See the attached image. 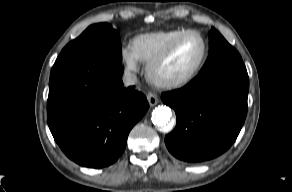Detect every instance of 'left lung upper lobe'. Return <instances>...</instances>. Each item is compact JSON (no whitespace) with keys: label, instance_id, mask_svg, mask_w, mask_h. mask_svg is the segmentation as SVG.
Instances as JSON below:
<instances>
[{"label":"left lung upper lobe","instance_id":"5c2ea615","mask_svg":"<svg viewBox=\"0 0 292 192\" xmlns=\"http://www.w3.org/2000/svg\"><path fill=\"white\" fill-rule=\"evenodd\" d=\"M209 56L199 74L223 68L245 67L240 54L214 28L209 32Z\"/></svg>","mask_w":292,"mask_h":192}]
</instances>
